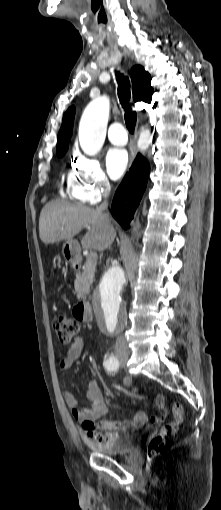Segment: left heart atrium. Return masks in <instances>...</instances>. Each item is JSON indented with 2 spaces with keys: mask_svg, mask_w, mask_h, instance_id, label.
Listing matches in <instances>:
<instances>
[{
  "mask_svg": "<svg viewBox=\"0 0 221 510\" xmlns=\"http://www.w3.org/2000/svg\"><path fill=\"white\" fill-rule=\"evenodd\" d=\"M128 162V154L123 149L113 148L107 153V168L113 179H119L125 173Z\"/></svg>",
  "mask_w": 221,
  "mask_h": 510,
  "instance_id": "left-heart-atrium-1",
  "label": "left heart atrium"
}]
</instances>
